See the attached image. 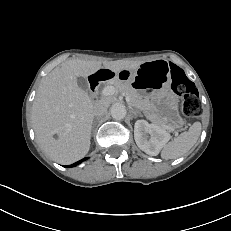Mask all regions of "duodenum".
Returning <instances> with one entry per match:
<instances>
[{"instance_id":"1","label":"duodenum","mask_w":231,"mask_h":231,"mask_svg":"<svg viewBox=\"0 0 231 231\" xmlns=\"http://www.w3.org/2000/svg\"><path fill=\"white\" fill-rule=\"evenodd\" d=\"M111 79L110 72L107 69H101L95 75H93L89 80V93L91 97H95L96 89L100 82H106Z\"/></svg>"}]
</instances>
